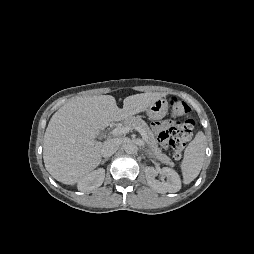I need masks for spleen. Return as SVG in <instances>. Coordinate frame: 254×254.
I'll return each mask as SVG.
<instances>
[{"label":"spleen","mask_w":254,"mask_h":254,"mask_svg":"<svg viewBox=\"0 0 254 254\" xmlns=\"http://www.w3.org/2000/svg\"><path fill=\"white\" fill-rule=\"evenodd\" d=\"M206 146V136L199 131L185 149L184 158L180 164L184 184H189L199 175L204 163Z\"/></svg>","instance_id":"3e777b00"}]
</instances>
